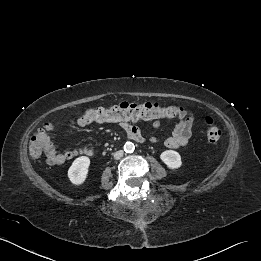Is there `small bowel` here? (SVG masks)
Returning a JSON list of instances; mask_svg holds the SVG:
<instances>
[{"label": "small bowel", "mask_w": 261, "mask_h": 261, "mask_svg": "<svg viewBox=\"0 0 261 261\" xmlns=\"http://www.w3.org/2000/svg\"><path fill=\"white\" fill-rule=\"evenodd\" d=\"M118 124L130 137L133 133H140L139 129L130 124L128 121H116L113 122ZM76 126L83 127L88 124V122L83 118H78L75 122ZM160 122L155 120L152 122V126L157 128ZM193 125V116L187 114L183 117L177 118V123L169 136L164 137L163 139L153 136L150 138L152 143L163 142V144L168 148H179L186 146L189 143L191 137V129ZM44 129L49 132L54 129V126L51 124L45 125ZM46 161L50 165H60L63 164L74 157L77 156H93L96 153V149L89 146L80 147L78 149H71L64 153H59L55 143L53 142L50 135L47 134L46 142L44 146Z\"/></svg>", "instance_id": "obj_1"}]
</instances>
